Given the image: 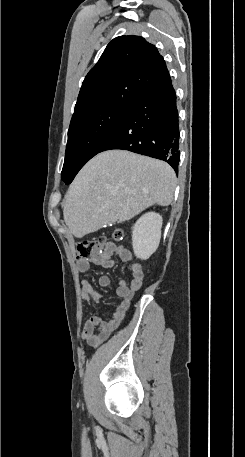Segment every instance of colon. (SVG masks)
<instances>
[{
  "label": "colon",
  "instance_id": "obj_1",
  "mask_svg": "<svg viewBox=\"0 0 245 457\" xmlns=\"http://www.w3.org/2000/svg\"><path fill=\"white\" fill-rule=\"evenodd\" d=\"M115 241H122L125 238L124 231L117 228L113 232ZM105 247V239L103 237H94L83 240L77 244L76 255L79 260H88L100 254Z\"/></svg>",
  "mask_w": 245,
  "mask_h": 457
}]
</instances>
